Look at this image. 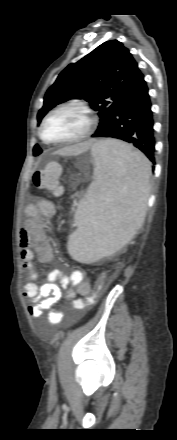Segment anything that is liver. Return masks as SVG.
<instances>
[{"instance_id":"obj_1","label":"liver","mask_w":177,"mask_h":440,"mask_svg":"<svg viewBox=\"0 0 177 440\" xmlns=\"http://www.w3.org/2000/svg\"><path fill=\"white\" fill-rule=\"evenodd\" d=\"M93 145V140L78 143L72 146L64 147L57 153L63 156H76L87 151Z\"/></svg>"}]
</instances>
